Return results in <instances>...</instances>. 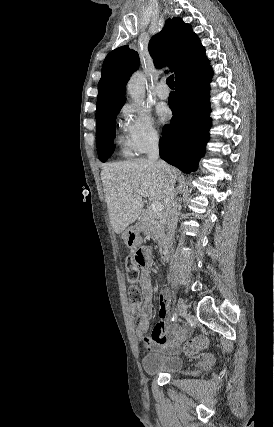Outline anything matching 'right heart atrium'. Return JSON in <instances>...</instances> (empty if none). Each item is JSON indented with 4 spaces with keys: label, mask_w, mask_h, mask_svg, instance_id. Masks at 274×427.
Returning <instances> with one entry per match:
<instances>
[{
    "label": "right heart atrium",
    "mask_w": 274,
    "mask_h": 427,
    "mask_svg": "<svg viewBox=\"0 0 274 427\" xmlns=\"http://www.w3.org/2000/svg\"><path fill=\"white\" fill-rule=\"evenodd\" d=\"M124 129L127 141L138 153L155 146L160 138L149 114L144 109H137L133 115H129Z\"/></svg>",
    "instance_id": "obj_1"
}]
</instances>
